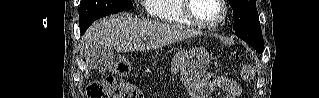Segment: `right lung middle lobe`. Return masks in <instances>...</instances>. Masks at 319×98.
<instances>
[{
  "label": "right lung middle lobe",
  "instance_id": "right-lung-middle-lobe-1",
  "mask_svg": "<svg viewBox=\"0 0 319 98\" xmlns=\"http://www.w3.org/2000/svg\"><path fill=\"white\" fill-rule=\"evenodd\" d=\"M131 8V0H81L79 25Z\"/></svg>",
  "mask_w": 319,
  "mask_h": 98
}]
</instances>
